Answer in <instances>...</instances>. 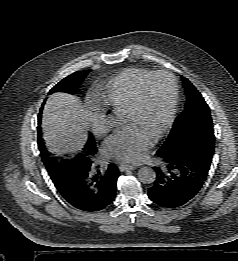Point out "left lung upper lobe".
<instances>
[{
    "mask_svg": "<svg viewBox=\"0 0 238 261\" xmlns=\"http://www.w3.org/2000/svg\"><path fill=\"white\" fill-rule=\"evenodd\" d=\"M182 80L186 92L185 107L157 154L179 152L200 143H208L213 152L215 137L209 107L193 84L186 78Z\"/></svg>",
    "mask_w": 238,
    "mask_h": 261,
    "instance_id": "left-lung-upper-lobe-1",
    "label": "left lung upper lobe"
}]
</instances>
